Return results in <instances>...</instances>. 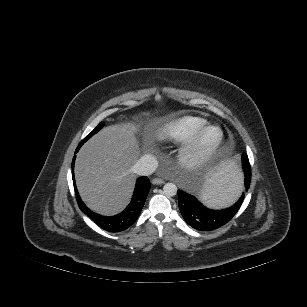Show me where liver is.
<instances>
[{
    "label": "liver",
    "mask_w": 307,
    "mask_h": 307,
    "mask_svg": "<svg viewBox=\"0 0 307 307\" xmlns=\"http://www.w3.org/2000/svg\"><path fill=\"white\" fill-rule=\"evenodd\" d=\"M133 123L103 128L77 154L75 179L82 200L93 211L114 215L130 201L136 175L132 168L144 147ZM150 141L146 142V146Z\"/></svg>",
    "instance_id": "1"
}]
</instances>
